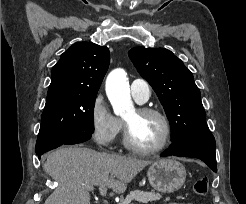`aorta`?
Wrapping results in <instances>:
<instances>
[{
	"mask_svg": "<svg viewBox=\"0 0 246 204\" xmlns=\"http://www.w3.org/2000/svg\"><path fill=\"white\" fill-rule=\"evenodd\" d=\"M106 93L115 115L124 118L135 114L126 72L123 69H115L108 75Z\"/></svg>",
	"mask_w": 246,
	"mask_h": 204,
	"instance_id": "762f6f07",
	"label": "aorta"
}]
</instances>
